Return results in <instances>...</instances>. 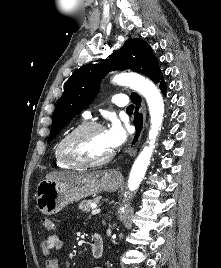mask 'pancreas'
<instances>
[{"instance_id": "pancreas-1", "label": "pancreas", "mask_w": 221, "mask_h": 268, "mask_svg": "<svg viewBox=\"0 0 221 268\" xmlns=\"http://www.w3.org/2000/svg\"><path fill=\"white\" fill-rule=\"evenodd\" d=\"M98 202V198L95 199H89V200H82L79 204H78V208L80 210L89 212L90 211V204L91 203H97Z\"/></svg>"}]
</instances>
